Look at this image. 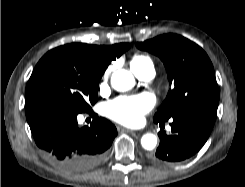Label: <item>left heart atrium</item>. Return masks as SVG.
I'll use <instances>...</instances> for the list:
<instances>
[{
    "mask_svg": "<svg viewBox=\"0 0 245 187\" xmlns=\"http://www.w3.org/2000/svg\"><path fill=\"white\" fill-rule=\"evenodd\" d=\"M155 99L149 93L135 96H120L106 105V114L109 118L124 125L135 126L143 121L154 106Z\"/></svg>",
    "mask_w": 245,
    "mask_h": 187,
    "instance_id": "obj_1",
    "label": "left heart atrium"
}]
</instances>
